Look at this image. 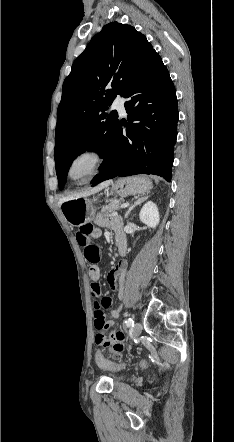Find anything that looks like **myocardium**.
<instances>
[{"label":"myocardium","mask_w":234,"mask_h":442,"mask_svg":"<svg viewBox=\"0 0 234 442\" xmlns=\"http://www.w3.org/2000/svg\"><path fill=\"white\" fill-rule=\"evenodd\" d=\"M83 155H89L93 158L92 170L85 178L81 180H75L71 175V167L74 161ZM106 160H107V153L101 145L98 144L85 145L79 148L69 159L67 164V176L72 182L76 184L87 183L100 172V170L106 163Z\"/></svg>","instance_id":"myocardium-1"}]
</instances>
